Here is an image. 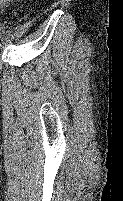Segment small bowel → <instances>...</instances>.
<instances>
[{
    "label": "small bowel",
    "instance_id": "1",
    "mask_svg": "<svg viewBox=\"0 0 123 201\" xmlns=\"http://www.w3.org/2000/svg\"><path fill=\"white\" fill-rule=\"evenodd\" d=\"M1 1H2V3H6V2H8L9 0H0V3H1ZM7 25L6 24H2V27H6Z\"/></svg>",
    "mask_w": 123,
    "mask_h": 201
}]
</instances>
